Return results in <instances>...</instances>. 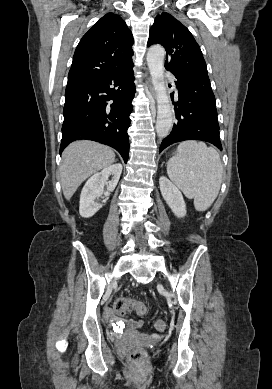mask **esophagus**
Wrapping results in <instances>:
<instances>
[{"label":"esophagus","mask_w":272,"mask_h":389,"mask_svg":"<svg viewBox=\"0 0 272 389\" xmlns=\"http://www.w3.org/2000/svg\"><path fill=\"white\" fill-rule=\"evenodd\" d=\"M150 93L154 96V90L152 87H150Z\"/></svg>","instance_id":"1"}]
</instances>
